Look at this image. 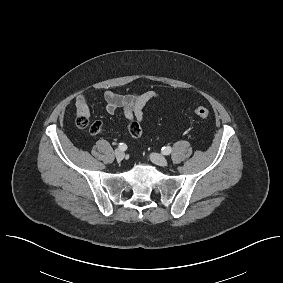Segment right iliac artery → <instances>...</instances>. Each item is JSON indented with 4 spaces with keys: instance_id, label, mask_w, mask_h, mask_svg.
<instances>
[{
    "instance_id": "82829eb1",
    "label": "right iliac artery",
    "mask_w": 283,
    "mask_h": 283,
    "mask_svg": "<svg viewBox=\"0 0 283 283\" xmlns=\"http://www.w3.org/2000/svg\"><path fill=\"white\" fill-rule=\"evenodd\" d=\"M119 148L122 150V151H125L127 149V145L124 144V143H120L119 144Z\"/></svg>"
}]
</instances>
